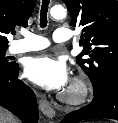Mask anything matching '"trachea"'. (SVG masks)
I'll use <instances>...</instances> for the list:
<instances>
[{
  "instance_id": "obj_1",
  "label": "trachea",
  "mask_w": 118,
  "mask_h": 123,
  "mask_svg": "<svg viewBox=\"0 0 118 123\" xmlns=\"http://www.w3.org/2000/svg\"><path fill=\"white\" fill-rule=\"evenodd\" d=\"M49 0H43L40 11V27L47 26V12H48Z\"/></svg>"
}]
</instances>
